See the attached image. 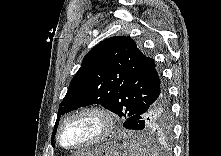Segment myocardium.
Wrapping results in <instances>:
<instances>
[{
    "label": "myocardium",
    "instance_id": "1",
    "mask_svg": "<svg viewBox=\"0 0 221 156\" xmlns=\"http://www.w3.org/2000/svg\"><path fill=\"white\" fill-rule=\"evenodd\" d=\"M82 115H93L97 117L101 122L100 132L93 139H91L90 141L82 145L65 146L61 138L63 128L69 121ZM115 122H116L115 116L112 113V111L109 110L108 108L101 106V105H87V106L81 107L73 111L61 121L57 130V141L59 145L65 150H69V151L83 150V149L92 147L94 145H97L103 142L105 139H107L112 134L115 128Z\"/></svg>",
    "mask_w": 221,
    "mask_h": 156
}]
</instances>
